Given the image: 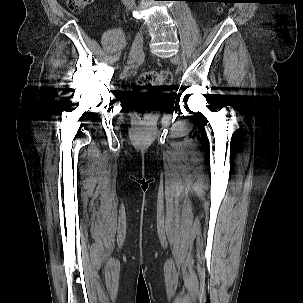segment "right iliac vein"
Listing matches in <instances>:
<instances>
[{
  "instance_id": "obj_1",
  "label": "right iliac vein",
  "mask_w": 303,
  "mask_h": 303,
  "mask_svg": "<svg viewBox=\"0 0 303 303\" xmlns=\"http://www.w3.org/2000/svg\"><path fill=\"white\" fill-rule=\"evenodd\" d=\"M143 47V33L139 31L136 34L134 42L132 44L130 53H129V61H134L141 53Z\"/></svg>"
}]
</instances>
